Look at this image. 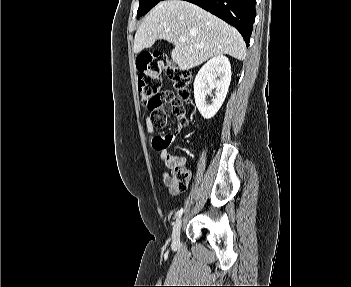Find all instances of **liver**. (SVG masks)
<instances>
[{"label":"liver","mask_w":351,"mask_h":287,"mask_svg":"<svg viewBox=\"0 0 351 287\" xmlns=\"http://www.w3.org/2000/svg\"><path fill=\"white\" fill-rule=\"evenodd\" d=\"M185 38V42H180ZM159 39L174 44L171 58L180 70H189L211 57L227 54L238 60L246 45L234 27L199 6L182 0L158 3L136 31L133 51L138 54Z\"/></svg>","instance_id":"6515ba94"}]
</instances>
